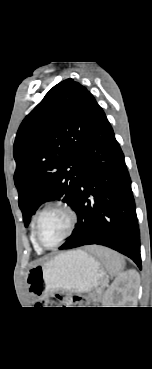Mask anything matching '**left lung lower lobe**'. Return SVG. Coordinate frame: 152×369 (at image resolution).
<instances>
[{
  "instance_id": "obj_1",
  "label": "left lung lower lobe",
  "mask_w": 152,
  "mask_h": 369,
  "mask_svg": "<svg viewBox=\"0 0 152 369\" xmlns=\"http://www.w3.org/2000/svg\"><path fill=\"white\" fill-rule=\"evenodd\" d=\"M75 198L78 221L59 249L98 244L131 258L141 269L140 233L124 154L102 108L83 151Z\"/></svg>"
}]
</instances>
